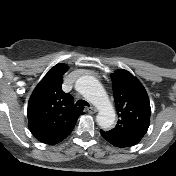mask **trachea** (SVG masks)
<instances>
[{
	"instance_id": "3493384b",
	"label": "trachea",
	"mask_w": 176,
	"mask_h": 176,
	"mask_svg": "<svg viewBox=\"0 0 176 176\" xmlns=\"http://www.w3.org/2000/svg\"><path fill=\"white\" fill-rule=\"evenodd\" d=\"M76 106H90V105L85 100L80 99L76 102Z\"/></svg>"
}]
</instances>
